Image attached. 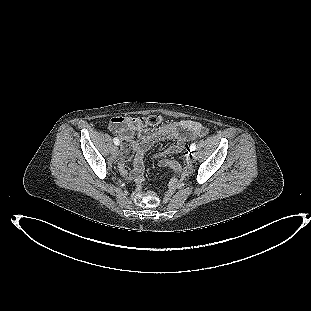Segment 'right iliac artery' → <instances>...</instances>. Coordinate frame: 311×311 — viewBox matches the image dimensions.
Instances as JSON below:
<instances>
[{
    "instance_id": "82829eb1",
    "label": "right iliac artery",
    "mask_w": 311,
    "mask_h": 311,
    "mask_svg": "<svg viewBox=\"0 0 311 311\" xmlns=\"http://www.w3.org/2000/svg\"><path fill=\"white\" fill-rule=\"evenodd\" d=\"M113 142H114L115 145H119V143H120L119 140H118L117 138H114V139H113Z\"/></svg>"
}]
</instances>
